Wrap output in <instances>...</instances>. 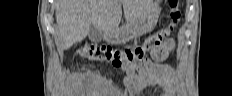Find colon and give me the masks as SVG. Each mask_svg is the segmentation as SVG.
<instances>
[{
	"mask_svg": "<svg viewBox=\"0 0 232 96\" xmlns=\"http://www.w3.org/2000/svg\"><path fill=\"white\" fill-rule=\"evenodd\" d=\"M169 4L170 24L150 35L143 46L122 50L86 44L78 49L77 54L92 60L106 61L113 65L124 64L126 69L131 70L133 74L146 73L149 70L157 69V65H153L150 61L144 59V55L147 50L152 49V55L156 60H162L167 56L168 50L165 49L164 44L167 42V37L173 31L180 18V11L177 7L178 1L170 0ZM136 60L139 64L132 68Z\"/></svg>",
	"mask_w": 232,
	"mask_h": 96,
	"instance_id": "1",
	"label": "colon"
}]
</instances>
